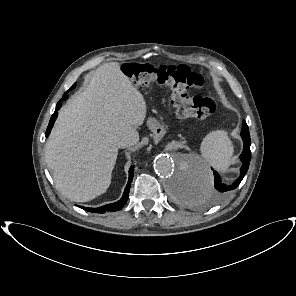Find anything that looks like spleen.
<instances>
[{
  "label": "spleen",
  "instance_id": "obj_1",
  "mask_svg": "<svg viewBox=\"0 0 296 296\" xmlns=\"http://www.w3.org/2000/svg\"><path fill=\"white\" fill-rule=\"evenodd\" d=\"M200 149L202 157L217 170L225 172L230 166L234 148L226 131L210 132L203 139ZM193 196H203V193L196 192Z\"/></svg>",
  "mask_w": 296,
  "mask_h": 296
}]
</instances>
